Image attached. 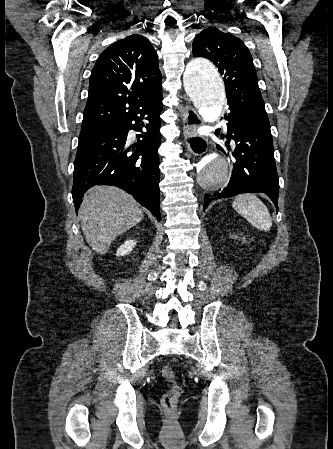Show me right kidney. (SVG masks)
I'll return each mask as SVG.
<instances>
[{
	"label": "right kidney",
	"instance_id": "right-kidney-1",
	"mask_svg": "<svg viewBox=\"0 0 333 449\" xmlns=\"http://www.w3.org/2000/svg\"><path fill=\"white\" fill-rule=\"evenodd\" d=\"M135 245H136V243L133 240H128V241L124 242V244H122L118 248L117 256H125V255L129 254L133 250Z\"/></svg>",
	"mask_w": 333,
	"mask_h": 449
}]
</instances>
